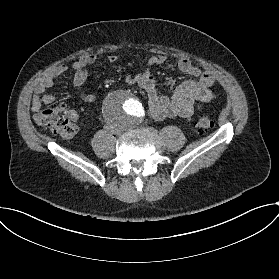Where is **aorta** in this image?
Segmentation results:
<instances>
[{
    "label": "aorta",
    "instance_id": "aorta-1",
    "mask_svg": "<svg viewBox=\"0 0 279 279\" xmlns=\"http://www.w3.org/2000/svg\"><path fill=\"white\" fill-rule=\"evenodd\" d=\"M104 116L115 130H124L137 125L144 116L142 103L129 91L119 90L106 99Z\"/></svg>",
    "mask_w": 279,
    "mask_h": 279
}]
</instances>
